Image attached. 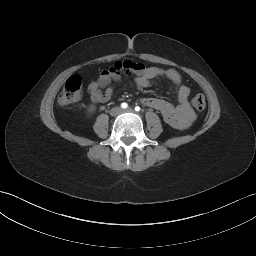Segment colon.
Instances as JSON below:
<instances>
[{
  "label": "colon",
  "instance_id": "obj_1",
  "mask_svg": "<svg viewBox=\"0 0 256 256\" xmlns=\"http://www.w3.org/2000/svg\"><path fill=\"white\" fill-rule=\"evenodd\" d=\"M82 95V79L78 75L70 76L59 95V103L61 105H69L77 102ZM192 104L195 109L201 111L206 107V98L203 94H195L192 98Z\"/></svg>",
  "mask_w": 256,
  "mask_h": 256
}]
</instances>
